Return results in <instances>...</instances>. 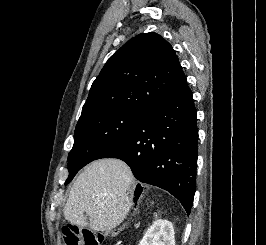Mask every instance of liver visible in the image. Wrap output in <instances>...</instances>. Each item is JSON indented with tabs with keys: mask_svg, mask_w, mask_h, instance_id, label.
<instances>
[{
	"mask_svg": "<svg viewBox=\"0 0 266 245\" xmlns=\"http://www.w3.org/2000/svg\"><path fill=\"white\" fill-rule=\"evenodd\" d=\"M133 181L131 169L120 159L93 161L73 183L63 209L66 221L92 231L115 229L130 211ZM84 213L90 217L89 223Z\"/></svg>",
	"mask_w": 266,
	"mask_h": 245,
	"instance_id": "1",
	"label": "liver"
}]
</instances>
